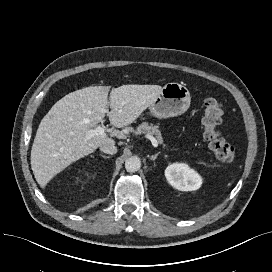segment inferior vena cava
Returning <instances> with one entry per match:
<instances>
[{"instance_id":"602c4592","label":"inferior vena cava","mask_w":272,"mask_h":272,"mask_svg":"<svg viewBox=\"0 0 272 272\" xmlns=\"http://www.w3.org/2000/svg\"><path fill=\"white\" fill-rule=\"evenodd\" d=\"M100 150L106 154H116L117 147L114 143H105L100 146Z\"/></svg>"}]
</instances>
